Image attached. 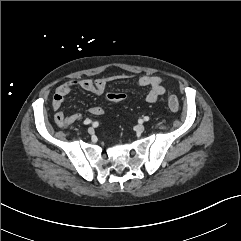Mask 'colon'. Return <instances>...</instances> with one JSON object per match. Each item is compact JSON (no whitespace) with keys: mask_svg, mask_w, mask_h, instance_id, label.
I'll return each instance as SVG.
<instances>
[{"mask_svg":"<svg viewBox=\"0 0 241 241\" xmlns=\"http://www.w3.org/2000/svg\"><path fill=\"white\" fill-rule=\"evenodd\" d=\"M125 98V94L123 93H105L104 99L108 101H119ZM168 108L172 112H176L179 109V101L178 98L174 95H170L167 99Z\"/></svg>","mask_w":241,"mask_h":241,"instance_id":"colon-1","label":"colon"}]
</instances>
